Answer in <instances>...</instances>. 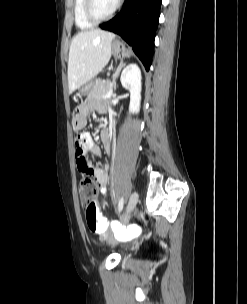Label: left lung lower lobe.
Returning <instances> with one entry per match:
<instances>
[{
    "mask_svg": "<svg viewBox=\"0 0 247 304\" xmlns=\"http://www.w3.org/2000/svg\"><path fill=\"white\" fill-rule=\"evenodd\" d=\"M161 2L162 0H127L120 13L100 25L102 29L120 35L132 46L147 71L152 62Z\"/></svg>",
    "mask_w": 247,
    "mask_h": 304,
    "instance_id": "left-lung-lower-lobe-1",
    "label": "left lung lower lobe"
}]
</instances>
